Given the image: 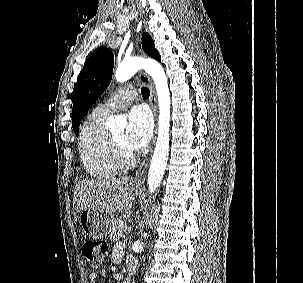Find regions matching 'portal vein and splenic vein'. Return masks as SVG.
<instances>
[{"mask_svg": "<svg viewBox=\"0 0 303 283\" xmlns=\"http://www.w3.org/2000/svg\"><path fill=\"white\" fill-rule=\"evenodd\" d=\"M121 224L123 225V222H121ZM130 231H131L130 227H127V226L124 227V232L128 233Z\"/></svg>", "mask_w": 303, "mask_h": 283, "instance_id": "obj_1", "label": "portal vein and splenic vein"}]
</instances>
